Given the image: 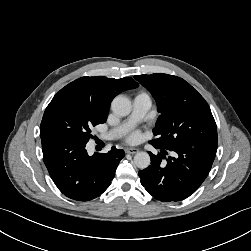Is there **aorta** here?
Masks as SVG:
<instances>
[{"label":"aorta","instance_id":"1","mask_svg":"<svg viewBox=\"0 0 251 251\" xmlns=\"http://www.w3.org/2000/svg\"><path fill=\"white\" fill-rule=\"evenodd\" d=\"M111 109L117 116L124 117L130 114L132 105L128 98L117 96L111 103ZM150 161V156L147 152H138L134 156V164L140 169L147 168L150 165Z\"/></svg>","mask_w":251,"mask_h":251}]
</instances>
